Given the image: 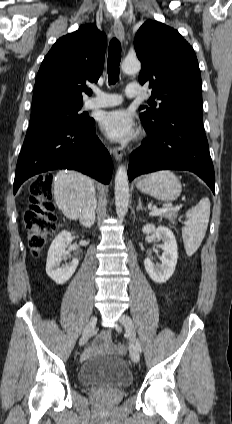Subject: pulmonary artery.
I'll return each mask as SVG.
<instances>
[{"mask_svg":"<svg viewBox=\"0 0 232 424\" xmlns=\"http://www.w3.org/2000/svg\"><path fill=\"white\" fill-rule=\"evenodd\" d=\"M125 94L129 98L141 95L142 90L140 85L137 83L129 84L126 88ZM122 100L123 97L120 94L104 93L99 90H95V97L87 100L85 107L87 109L114 107L121 104Z\"/></svg>","mask_w":232,"mask_h":424,"instance_id":"obj_1","label":"pulmonary artery"}]
</instances>
